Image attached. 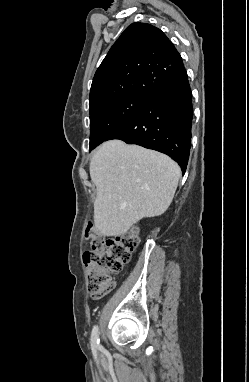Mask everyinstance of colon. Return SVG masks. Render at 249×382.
I'll return each instance as SVG.
<instances>
[{
	"mask_svg": "<svg viewBox=\"0 0 249 382\" xmlns=\"http://www.w3.org/2000/svg\"><path fill=\"white\" fill-rule=\"evenodd\" d=\"M91 250L83 254L87 270L88 289L94 299L107 295L115 286L112 274L122 272L139 245V233L133 229L115 240H105L98 235L92 224L85 229Z\"/></svg>",
	"mask_w": 249,
	"mask_h": 382,
	"instance_id": "obj_1",
	"label": "colon"
}]
</instances>
